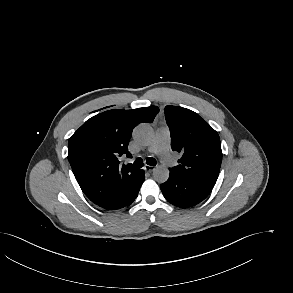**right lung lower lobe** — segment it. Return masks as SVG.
<instances>
[{"instance_id": "1", "label": "right lung lower lobe", "mask_w": 293, "mask_h": 293, "mask_svg": "<svg viewBox=\"0 0 293 293\" xmlns=\"http://www.w3.org/2000/svg\"><path fill=\"white\" fill-rule=\"evenodd\" d=\"M144 174H145V172L142 170L143 181H144ZM137 195H138V193L136 194V196L131 200V202L128 205H130L136 199Z\"/></svg>"}]
</instances>
